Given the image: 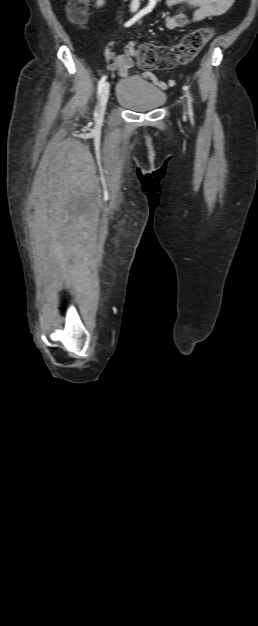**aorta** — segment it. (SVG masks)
I'll return each instance as SVG.
<instances>
[{"mask_svg": "<svg viewBox=\"0 0 258 626\" xmlns=\"http://www.w3.org/2000/svg\"><path fill=\"white\" fill-rule=\"evenodd\" d=\"M157 0H149V7L152 8L155 6Z\"/></svg>", "mask_w": 258, "mask_h": 626, "instance_id": "762f6f07", "label": "aorta"}]
</instances>
